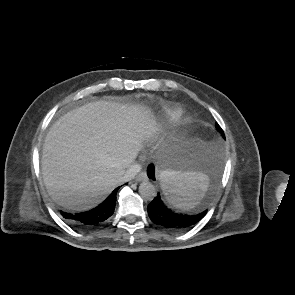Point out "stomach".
Masks as SVG:
<instances>
[{"label": "stomach", "instance_id": "0dacf381", "mask_svg": "<svg viewBox=\"0 0 295 295\" xmlns=\"http://www.w3.org/2000/svg\"><path fill=\"white\" fill-rule=\"evenodd\" d=\"M207 147L201 141L187 142L163 164L162 170L176 173L197 172L205 174L208 170Z\"/></svg>", "mask_w": 295, "mask_h": 295}]
</instances>
